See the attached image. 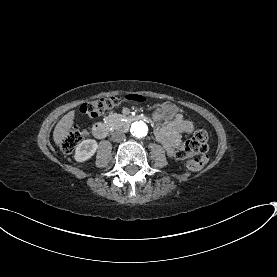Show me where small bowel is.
Returning a JSON list of instances; mask_svg holds the SVG:
<instances>
[{
    "label": "small bowel",
    "mask_w": 277,
    "mask_h": 277,
    "mask_svg": "<svg viewBox=\"0 0 277 277\" xmlns=\"http://www.w3.org/2000/svg\"><path fill=\"white\" fill-rule=\"evenodd\" d=\"M156 121L160 125L155 130V137L166 149L168 155L174 156L176 149L182 143V136L189 135L194 130V123L184 119L181 114L177 113L172 120L167 123H161V111L157 109L154 113Z\"/></svg>",
    "instance_id": "1"
}]
</instances>
